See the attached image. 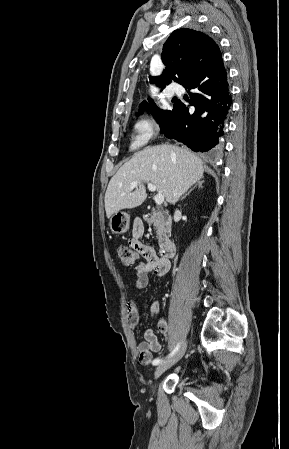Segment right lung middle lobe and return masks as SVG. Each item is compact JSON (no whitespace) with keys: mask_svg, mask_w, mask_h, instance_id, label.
<instances>
[{"mask_svg":"<svg viewBox=\"0 0 289 449\" xmlns=\"http://www.w3.org/2000/svg\"><path fill=\"white\" fill-rule=\"evenodd\" d=\"M148 101L150 105L146 101L142 102V104L140 105L139 112L142 113L144 109L149 111H151L152 109L154 111L155 119L159 121V123L162 125L161 127L162 130H164V128H166L168 123L170 122L173 110L172 111L161 110L155 105V103L151 99H148Z\"/></svg>","mask_w":289,"mask_h":449,"instance_id":"obj_1","label":"right lung middle lobe"}]
</instances>
